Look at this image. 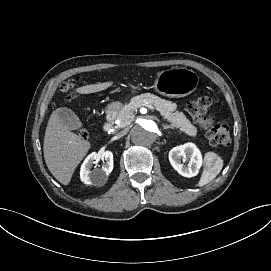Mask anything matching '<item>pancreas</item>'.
Masks as SVG:
<instances>
[{
  "label": "pancreas",
  "mask_w": 271,
  "mask_h": 271,
  "mask_svg": "<svg viewBox=\"0 0 271 271\" xmlns=\"http://www.w3.org/2000/svg\"><path fill=\"white\" fill-rule=\"evenodd\" d=\"M142 97L141 103L143 105L150 103L152 107L160 111L164 119L171 123L173 127L179 128L187 136L194 137L196 135V127L191 124L190 120L182 112L177 111L178 107L175 104L151 94H145ZM138 108L137 98L123 108L118 115L120 120L118 128L129 126Z\"/></svg>",
  "instance_id": "1"
}]
</instances>
